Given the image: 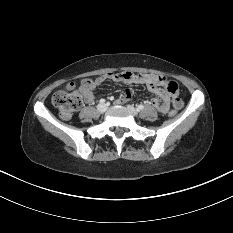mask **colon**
<instances>
[{
  "mask_svg": "<svg viewBox=\"0 0 233 233\" xmlns=\"http://www.w3.org/2000/svg\"><path fill=\"white\" fill-rule=\"evenodd\" d=\"M90 83V81H86L84 86L80 89L73 91L61 90L53 95L52 103L62 119L69 120L73 114L80 109L85 90L88 88ZM176 114V109L171 110L169 113L170 116H175Z\"/></svg>",
  "mask_w": 233,
  "mask_h": 233,
  "instance_id": "1",
  "label": "colon"
}]
</instances>
